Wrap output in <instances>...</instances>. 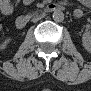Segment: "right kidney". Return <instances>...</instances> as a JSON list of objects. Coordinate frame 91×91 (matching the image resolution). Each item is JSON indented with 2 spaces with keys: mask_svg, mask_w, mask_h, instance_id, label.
Instances as JSON below:
<instances>
[{
  "mask_svg": "<svg viewBox=\"0 0 91 91\" xmlns=\"http://www.w3.org/2000/svg\"><path fill=\"white\" fill-rule=\"evenodd\" d=\"M10 41H11L10 38L5 39V41H3V42L1 43V49H5V48L7 47V45L9 44Z\"/></svg>",
  "mask_w": 91,
  "mask_h": 91,
  "instance_id": "obj_1",
  "label": "right kidney"
}]
</instances>
